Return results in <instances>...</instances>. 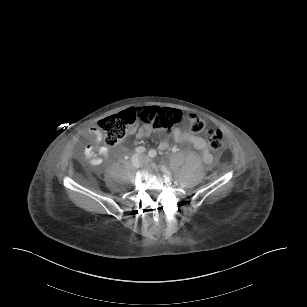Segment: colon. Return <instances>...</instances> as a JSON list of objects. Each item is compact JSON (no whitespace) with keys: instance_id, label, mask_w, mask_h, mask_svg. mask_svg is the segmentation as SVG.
I'll return each mask as SVG.
<instances>
[{"instance_id":"5ec220e1","label":"colon","mask_w":307,"mask_h":307,"mask_svg":"<svg viewBox=\"0 0 307 307\" xmlns=\"http://www.w3.org/2000/svg\"><path fill=\"white\" fill-rule=\"evenodd\" d=\"M124 116H133L134 122L138 120L162 133L170 132L173 126L184 121L189 122L190 129L193 132L199 133L205 128L204 121L197 115L188 114L185 116L178 109L161 108L160 111H155L151 108L138 111L127 110L121 114L111 115L99 121L98 130L102 132L104 141L108 146H118L124 139L128 126L134 123H124ZM204 135L213 150L219 151L223 148V135L219 129L208 126Z\"/></svg>"}]
</instances>
